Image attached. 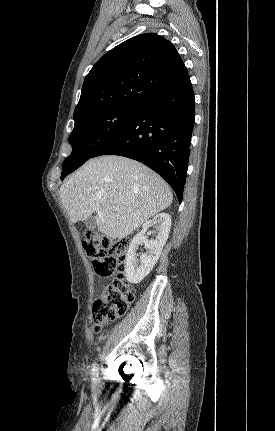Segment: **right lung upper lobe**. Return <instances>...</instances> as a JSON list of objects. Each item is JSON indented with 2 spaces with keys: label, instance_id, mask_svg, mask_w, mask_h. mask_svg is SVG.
I'll list each match as a JSON object with an SVG mask.
<instances>
[{
  "label": "right lung upper lobe",
  "instance_id": "obj_1",
  "mask_svg": "<svg viewBox=\"0 0 275 431\" xmlns=\"http://www.w3.org/2000/svg\"><path fill=\"white\" fill-rule=\"evenodd\" d=\"M188 71L175 47L154 33L116 46L92 67L82 87L74 120L112 107H139L172 87Z\"/></svg>",
  "mask_w": 275,
  "mask_h": 431
}]
</instances>
